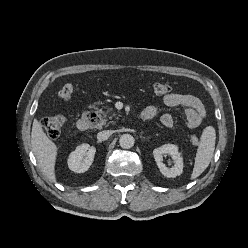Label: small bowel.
Here are the masks:
<instances>
[{"mask_svg":"<svg viewBox=\"0 0 248 248\" xmlns=\"http://www.w3.org/2000/svg\"><path fill=\"white\" fill-rule=\"evenodd\" d=\"M163 103L168 107H183L189 128L198 127L206 116V110L201 100L190 94L170 93L163 97ZM157 114L158 109L155 106H148L142 112V116L146 120L156 117ZM160 120L166 127L174 125V118L170 113L162 114Z\"/></svg>","mask_w":248,"mask_h":248,"instance_id":"1","label":"small bowel"}]
</instances>
